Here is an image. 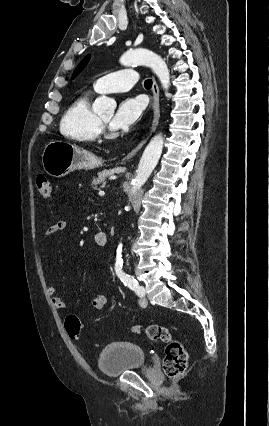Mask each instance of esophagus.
<instances>
[{"instance_id": "esophagus-1", "label": "esophagus", "mask_w": 269, "mask_h": 426, "mask_svg": "<svg viewBox=\"0 0 269 426\" xmlns=\"http://www.w3.org/2000/svg\"><path fill=\"white\" fill-rule=\"evenodd\" d=\"M152 92H153V101H152L153 121L150 128V132H152L156 128L159 117H160L159 87L154 77H153ZM145 142H146V139H143L131 152H129L126 155L124 160L131 159L142 148Z\"/></svg>"}]
</instances>
